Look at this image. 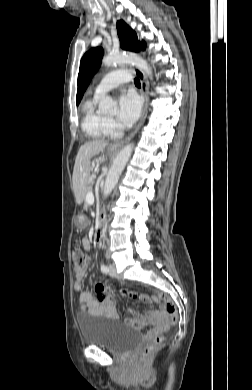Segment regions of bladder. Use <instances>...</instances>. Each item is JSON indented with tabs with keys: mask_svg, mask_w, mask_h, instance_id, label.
Listing matches in <instances>:
<instances>
[{
	"mask_svg": "<svg viewBox=\"0 0 252 390\" xmlns=\"http://www.w3.org/2000/svg\"><path fill=\"white\" fill-rule=\"evenodd\" d=\"M78 324L86 344L123 354L142 342V335L111 319L94 315H79Z\"/></svg>",
	"mask_w": 252,
	"mask_h": 390,
	"instance_id": "obj_1",
	"label": "bladder"
}]
</instances>
